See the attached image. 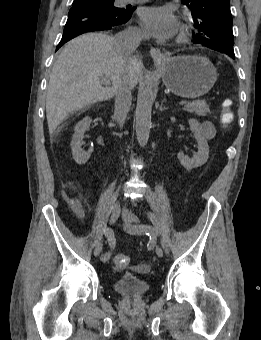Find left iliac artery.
<instances>
[{"label": "left iliac artery", "mask_w": 261, "mask_h": 340, "mask_svg": "<svg viewBox=\"0 0 261 340\" xmlns=\"http://www.w3.org/2000/svg\"><path fill=\"white\" fill-rule=\"evenodd\" d=\"M134 228L146 233V235H148L150 237L151 236H153V237L158 236L165 253L166 254L169 253V248H168V245L166 244L165 240L160 237L158 231L155 230L151 225L141 224V225H138V226H134Z\"/></svg>", "instance_id": "obj_1"}]
</instances>
